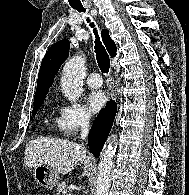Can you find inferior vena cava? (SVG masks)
I'll return each instance as SVG.
<instances>
[{"instance_id":"inferior-vena-cava-1","label":"inferior vena cava","mask_w":189,"mask_h":195,"mask_svg":"<svg viewBox=\"0 0 189 195\" xmlns=\"http://www.w3.org/2000/svg\"><path fill=\"white\" fill-rule=\"evenodd\" d=\"M79 126L81 130V133H80L81 138L84 140L87 137L88 132H89V118L86 116L82 117L80 120Z\"/></svg>"}]
</instances>
